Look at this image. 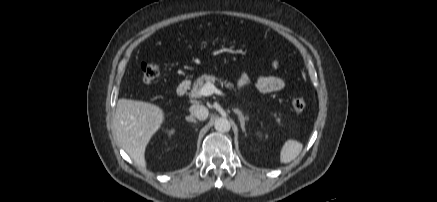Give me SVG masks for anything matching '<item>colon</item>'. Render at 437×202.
Returning <instances> with one entry per match:
<instances>
[{"mask_svg": "<svg viewBox=\"0 0 437 202\" xmlns=\"http://www.w3.org/2000/svg\"><path fill=\"white\" fill-rule=\"evenodd\" d=\"M141 72L143 81L146 83H151L159 75V66L153 62H144L141 64ZM306 106V100L302 97H296L292 100V107L297 112H302Z\"/></svg>", "mask_w": 437, "mask_h": 202, "instance_id": "obj_1", "label": "colon"}]
</instances>
